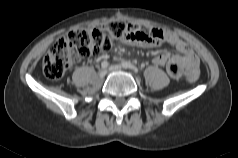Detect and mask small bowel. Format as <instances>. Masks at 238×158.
Masks as SVG:
<instances>
[{"mask_svg": "<svg viewBox=\"0 0 238 158\" xmlns=\"http://www.w3.org/2000/svg\"><path fill=\"white\" fill-rule=\"evenodd\" d=\"M131 26L132 36L125 40L127 44L142 48H154L167 42L178 51V54L164 52L153 59L155 65L165 66L172 77L179 78L183 69L199 66L198 57L178 35L161 28L150 27L144 30L137 24H131Z\"/></svg>", "mask_w": 238, "mask_h": 158, "instance_id": "c3829d8e", "label": "small bowel"}]
</instances>
